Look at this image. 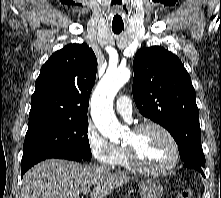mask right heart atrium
I'll return each mask as SVG.
<instances>
[{
  "mask_svg": "<svg viewBox=\"0 0 221 198\" xmlns=\"http://www.w3.org/2000/svg\"><path fill=\"white\" fill-rule=\"evenodd\" d=\"M86 142L92 156L102 165L112 167L118 156V146L106 139L92 124L85 133Z\"/></svg>",
  "mask_w": 221,
  "mask_h": 198,
  "instance_id": "1",
  "label": "right heart atrium"
}]
</instances>
